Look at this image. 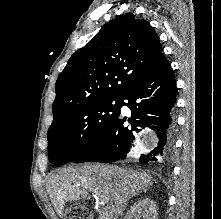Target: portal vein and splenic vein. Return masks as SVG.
I'll use <instances>...</instances> for the list:
<instances>
[{
    "instance_id": "1",
    "label": "portal vein and splenic vein",
    "mask_w": 221,
    "mask_h": 219,
    "mask_svg": "<svg viewBox=\"0 0 221 219\" xmlns=\"http://www.w3.org/2000/svg\"><path fill=\"white\" fill-rule=\"evenodd\" d=\"M100 204H101V205H105L106 202H105L104 200H100Z\"/></svg>"
}]
</instances>
